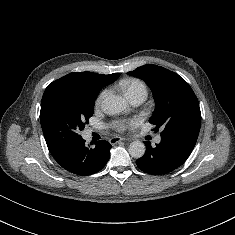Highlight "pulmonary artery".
I'll return each mask as SVG.
<instances>
[{
	"label": "pulmonary artery",
	"mask_w": 235,
	"mask_h": 235,
	"mask_svg": "<svg viewBox=\"0 0 235 235\" xmlns=\"http://www.w3.org/2000/svg\"><path fill=\"white\" fill-rule=\"evenodd\" d=\"M146 97H147V93L144 91H137L128 96L130 102L133 105L141 104L146 99ZM154 140H155V143H160L161 136L160 135L156 136Z\"/></svg>",
	"instance_id": "e3ab8cb5"
}]
</instances>
